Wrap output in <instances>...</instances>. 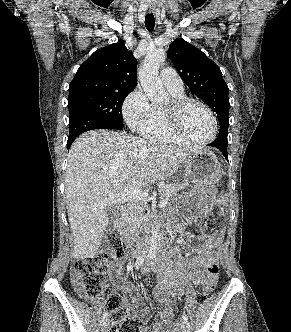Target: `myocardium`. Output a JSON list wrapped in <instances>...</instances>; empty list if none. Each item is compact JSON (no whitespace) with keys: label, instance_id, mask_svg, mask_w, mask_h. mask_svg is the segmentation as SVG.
I'll use <instances>...</instances> for the list:
<instances>
[{"label":"myocardium","instance_id":"f54148a6","mask_svg":"<svg viewBox=\"0 0 291 332\" xmlns=\"http://www.w3.org/2000/svg\"><path fill=\"white\" fill-rule=\"evenodd\" d=\"M191 105H198L202 107L209 114L212 120L213 124L212 135L205 140H196L190 137L183 128V123H182L183 113ZM165 114L171 130L177 136L187 141L188 143L196 145H206L214 141L218 134V121L215 113L207 104H205L200 100L189 97L173 99L171 103L165 107Z\"/></svg>","mask_w":291,"mask_h":332}]
</instances>
